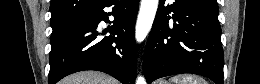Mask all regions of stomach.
<instances>
[{"label":"stomach","instance_id":"1","mask_svg":"<svg viewBox=\"0 0 260 84\" xmlns=\"http://www.w3.org/2000/svg\"><path fill=\"white\" fill-rule=\"evenodd\" d=\"M159 84H167L165 81H160Z\"/></svg>","mask_w":260,"mask_h":84}]
</instances>
